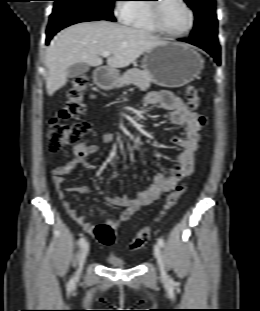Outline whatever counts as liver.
Masks as SVG:
<instances>
[{
	"label": "liver",
	"mask_w": 260,
	"mask_h": 311,
	"mask_svg": "<svg viewBox=\"0 0 260 311\" xmlns=\"http://www.w3.org/2000/svg\"><path fill=\"white\" fill-rule=\"evenodd\" d=\"M166 42L148 33L109 21L84 22L65 28L46 50L47 93L52 96L67 83V69L77 63L98 67L102 53L110 52L108 68L133 63L144 52Z\"/></svg>",
	"instance_id": "1"
}]
</instances>
